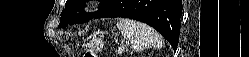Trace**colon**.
Segmentation results:
<instances>
[{"mask_svg":"<svg viewBox=\"0 0 249 57\" xmlns=\"http://www.w3.org/2000/svg\"><path fill=\"white\" fill-rule=\"evenodd\" d=\"M95 53L93 51H87L84 55V57H95Z\"/></svg>","mask_w":249,"mask_h":57,"instance_id":"obj_1","label":"colon"}]
</instances>
